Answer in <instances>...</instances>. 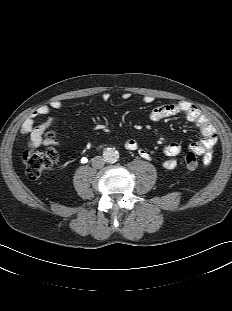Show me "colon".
<instances>
[{"mask_svg":"<svg viewBox=\"0 0 232 311\" xmlns=\"http://www.w3.org/2000/svg\"><path fill=\"white\" fill-rule=\"evenodd\" d=\"M59 154L54 148L45 151L27 150L23 154L25 173L28 179L36 180L44 172L52 168L58 161ZM184 162L188 169L194 170L198 167L197 154L190 150L184 156Z\"/></svg>","mask_w":232,"mask_h":311,"instance_id":"obj_1","label":"colon"}]
</instances>
